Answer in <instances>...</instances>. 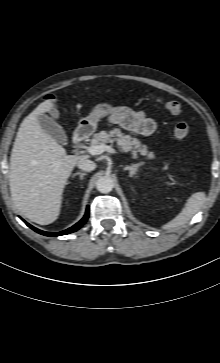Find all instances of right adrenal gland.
<instances>
[{"label": "right adrenal gland", "mask_w": 220, "mask_h": 363, "mask_svg": "<svg viewBox=\"0 0 220 363\" xmlns=\"http://www.w3.org/2000/svg\"><path fill=\"white\" fill-rule=\"evenodd\" d=\"M77 175H79V176H80V180H82V179H83V177H84V176H86V173L76 172V173H74V174H73V177H75V176H77Z\"/></svg>", "instance_id": "obj_1"}]
</instances>
